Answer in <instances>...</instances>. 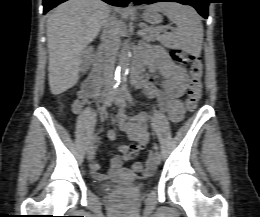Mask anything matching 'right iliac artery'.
<instances>
[{
  "label": "right iliac artery",
  "mask_w": 260,
  "mask_h": 217,
  "mask_svg": "<svg viewBox=\"0 0 260 217\" xmlns=\"http://www.w3.org/2000/svg\"><path fill=\"white\" fill-rule=\"evenodd\" d=\"M119 86V82H117L114 87L113 90L108 94V96L105 98L104 100V105H103V112L106 110L107 107H109L112 103L113 100V94L115 92V90L117 89V87ZM102 112V113H103ZM97 141V134H95L92 139H91V145L95 144V142Z\"/></svg>",
  "instance_id": "obj_1"
}]
</instances>
